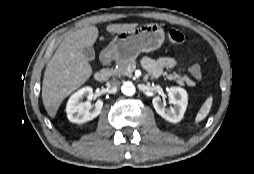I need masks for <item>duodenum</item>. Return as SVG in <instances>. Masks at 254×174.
<instances>
[{"label": "duodenum", "mask_w": 254, "mask_h": 174, "mask_svg": "<svg viewBox=\"0 0 254 174\" xmlns=\"http://www.w3.org/2000/svg\"><path fill=\"white\" fill-rule=\"evenodd\" d=\"M111 61V58L109 56H105L104 58H102V63L104 65H108ZM108 75L105 71H98L94 74V79L97 81V82H104L106 81Z\"/></svg>", "instance_id": "410a0bca"}]
</instances>
